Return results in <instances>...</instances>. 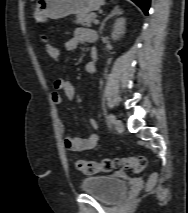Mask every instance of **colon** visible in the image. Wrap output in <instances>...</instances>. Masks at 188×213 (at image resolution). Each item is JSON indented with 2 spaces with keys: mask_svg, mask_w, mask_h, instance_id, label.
<instances>
[{
  "mask_svg": "<svg viewBox=\"0 0 188 213\" xmlns=\"http://www.w3.org/2000/svg\"><path fill=\"white\" fill-rule=\"evenodd\" d=\"M42 40L45 43V49L53 59L59 57L58 49L49 43L47 36L43 35ZM77 169L84 174L94 175L100 172H111L117 168L130 169L134 172L142 171L146 166V159L143 156H131L123 158H103L99 161H78Z\"/></svg>",
  "mask_w": 188,
  "mask_h": 213,
  "instance_id": "colon-1",
  "label": "colon"
}]
</instances>
